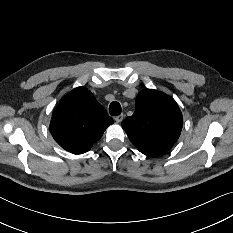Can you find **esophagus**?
<instances>
[{"label": "esophagus", "mask_w": 233, "mask_h": 233, "mask_svg": "<svg viewBox=\"0 0 233 233\" xmlns=\"http://www.w3.org/2000/svg\"><path fill=\"white\" fill-rule=\"evenodd\" d=\"M123 119H124V114H120V115L115 117V121L118 123L122 122Z\"/></svg>", "instance_id": "1"}]
</instances>
